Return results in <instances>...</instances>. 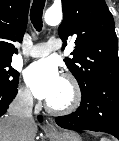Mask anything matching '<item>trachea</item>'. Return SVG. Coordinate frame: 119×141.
<instances>
[{
  "mask_svg": "<svg viewBox=\"0 0 119 141\" xmlns=\"http://www.w3.org/2000/svg\"><path fill=\"white\" fill-rule=\"evenodd\" d=\"M45 6V0H34L31 11L30 19L37 31L42 29V14Z\"/></svg>",
  "mask_w": 119,
  "mask_h": 141,
  "instance_id": "3493384b",
  "label": "trachea"
}]
</instances>
